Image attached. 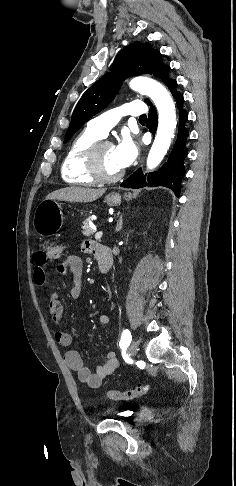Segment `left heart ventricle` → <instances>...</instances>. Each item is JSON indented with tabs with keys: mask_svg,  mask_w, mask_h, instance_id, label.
I'll list each match as a JSON object with an SVG mask.
<instances>
[{
	"mask_svg": "<svg viewBox=\"0 0 236 486\" xmlns=\"http://www.w3.org/2000/svg\"><path fill=\"white\" fill-rule=\"evenodd\" d=\"M100 158L102 169L105 174L115 175L122 171L117 163L113 146L107 145L103 147L100 153Z\"/></svg>",
	"mask_w": 236,
	"mask_h": 486,
	"instance_id": "obj_1",
	"label": "left heart ventricle"
}]
</instances>
